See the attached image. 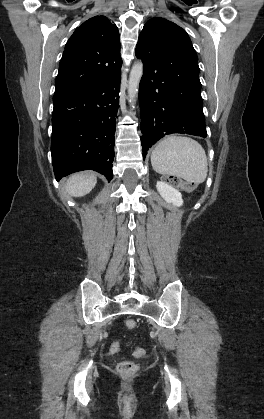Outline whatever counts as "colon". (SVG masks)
<instances>
[{
	"label": "colon",
	"mask_w": 264,
	"mask_h": 419,
	"mask_svg": "<svg viewBox=\"0 0 264 419\" xmlns=\"http://www.w3.org/2000/svg\"><path fill=\"white\" fill-rule=\"evenodd\" d=\"M165 181L171 185L180 187L186 191H192L195 188V185L190 182L183 181L179 177L175 176H167L165 177ZM126 326L128 329H135L137 327V322L133 319H129L126 322ZM133 354L136 357H142L145 354V351L141 348H135L133 350ZM117 370L120 374L129 376L132 375L137 370V365L135 362L126 360L118 364Z\"/></svg>",
	"instance_id": "5ec220e1"
}]
</instances>
